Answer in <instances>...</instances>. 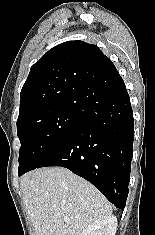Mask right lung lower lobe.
Listing matches in <instances>:
<instances>
[{
	"label": "right lung lower lobe",
	"mask_w": 155,
	"mask_h": 235,
	"mask_svg": "<svg viewBox=\"0 0 155 235\" xmlns=\"http://www.w3.org/2000/svg\"><path fill=\"white\" fill-rule=\"evenodd\" d=\"M78 113L83 125L36 168H68L96 186L117 208L124 209L130 180L134 120L122 78L89 91Z\"/></svg>",
	"instance_id": "obj_1"
}]
</instances>
